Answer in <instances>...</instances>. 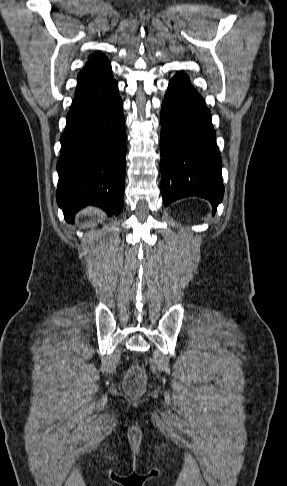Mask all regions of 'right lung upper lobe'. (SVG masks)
<instances>
[{"label":"right lung upper lobe","instance_id":"obj_1","mask_svg":"<svg viewBox=\"0 0 287 486\" xmlns=\"http://www.w3.org/2000/svg\"><path fill=\"white\" fill-rule=\"evenodd\" d=\"M112 78L111 65L107 57L101 53L91 55L85 67L78 74L76 90L91 87Z\"/></svg>","mask_w":287,"mask_h":486}]
</instances>
